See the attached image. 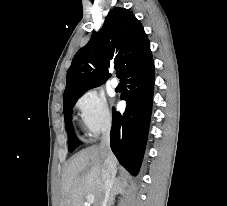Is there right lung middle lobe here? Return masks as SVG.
Listing matches in <instances>:
<instances>
[{"instance_id":"obj_1","label":"right lung middle lobe","mask_w":227,"mask_h":206,"mask_svg":"<svg viewBox=\"0 0 227 206\" xmlns=\"http://www.w3.org/2000/svg\"><path fill=\"white\" fill-rule=\"evenodd\" d=\"M82 94L71 96L69 98L63 99L64 100V109L63 113L65 114V125L68 132V146L69 151L73 152L76 147L80 144V141L77 139L74 128L71 121V115H72V107L76 103L77 99Z\"/></svg>"}]
</instances>
